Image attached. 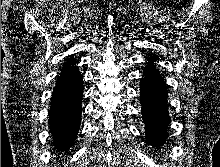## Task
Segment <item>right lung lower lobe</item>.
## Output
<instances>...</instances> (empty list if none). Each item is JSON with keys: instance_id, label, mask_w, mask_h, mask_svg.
<instances>
[{"instance_id": "obj_1", "label": "right lung lower lobe", "mask_w": 220, "mask_h": 167, "mask_svg": "<svg viewBox=\"0 0 220 167\" xmlns=\"http://www.w3.org/2000/svg\"><path fill=\"white\" fill-rule=\"evenodd\" d=\"M83 81L74 64L63 67L52 93L49 125L57 150H68L74 143L81 120Z\"/></svg>"}]
</instances>
